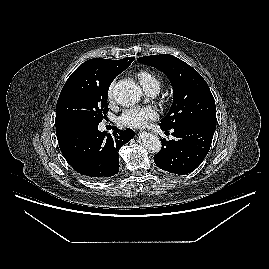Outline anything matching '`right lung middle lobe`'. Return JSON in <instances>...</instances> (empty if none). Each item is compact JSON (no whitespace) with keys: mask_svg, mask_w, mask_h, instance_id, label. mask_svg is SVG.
<instances>
[{"mask_svg":"<svg viewBox=\"0 0 269 269\" xmlns=\"http://www.w3.org/2000/svg\"><path fill=\"white\" fill-rule=\"evenodd\" d=\"M111 83H98L82 76H70L56 105V126L67 124L99 125L108 111Z\"/></svg>","mask_w":269,"mask_h":269,"instance_id":"right-lung-middle-lobe-1","label":"right lung middle lobe"}]
</instances>
